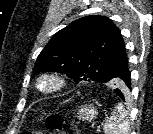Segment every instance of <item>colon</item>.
Returning <instances> with one entry per match:
<instances>
[{
	"instance_id": "colon-1",
	"label": "colon",
	"mask_w": 153,
	"mask_h": 134,
	"mask_svg": "<svg viewBox=\"0 0 153 134\" xmlns=\"http://www.w3.org/2000/svg\"><path fill=\"white\" fill-rule=\"evenodd\" d=\"M46 127L49 134H79L75 125L66 122L61 116L53 115L47 118ZM22 134H43L39 131H26Z\"/></svg>"
}]
</instances>
